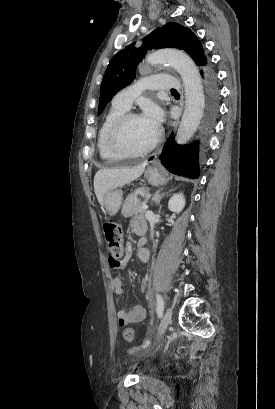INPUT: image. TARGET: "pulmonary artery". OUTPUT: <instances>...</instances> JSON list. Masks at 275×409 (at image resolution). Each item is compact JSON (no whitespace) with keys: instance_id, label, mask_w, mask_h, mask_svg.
<instances>
[{"instance_id":"1","label":"pulmonary artery","mask_w":275,"mask_h":409,"mask_svg":"<svg viewBox=\"0 0 275 409\" xmlns=\"http://www.w3.org/2000/svg\"><path fill=\"white\" fill-rule=\"evenodd\" d=\"M144 85H129L128 91H121L113 98V105L124 110L131 108L133 99L137 94H153L154 88H179L181 82L179 79H173L167 73L159 75H147L143 78Z\"/></svg>"}]
</instances>
